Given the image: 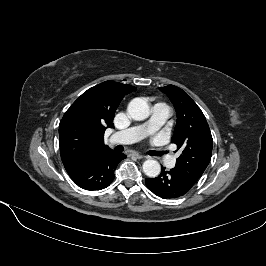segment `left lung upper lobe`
Here are the masks:
<instances>
[{
    "label": "left lung upper lobe",
    "instance_id": "1",
    "mask_svg": "<svg viewBox=\"0 0 266 266\" xmlns=\"http://www.w3.org/2000/svg\"><path fill=\"white\" fill-rule=\"evenodd\" d=\"M173 103L177 124L172 143L181 154L173 168L183 180L194 186L208 166L213 139L206 118L197 104L181 88L168 85L159 87Z\"/></svg>",
    "mask_w": 266,
    "mask_h": 266
}]
</instances>
